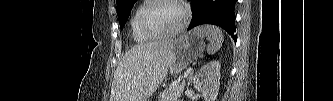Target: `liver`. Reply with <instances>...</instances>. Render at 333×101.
<instances>
[{
  "label": "liver",
  "mask_w": 333,
  "mask_h": 101,
  "mask_svg": "<svg viewBox=\"0 0 333 101\" xmlns=\"http://www.w3.org/2000/svg\"><path fill=\"white\" fill-rule=\"evenodd\" d=\"M173 41L140 43L129 50L115 71L110 101H146L168 73Z\"/></svg>",
  "instance_id": "liver-1"
}]
</instances>
